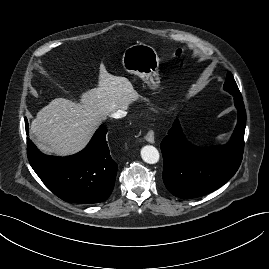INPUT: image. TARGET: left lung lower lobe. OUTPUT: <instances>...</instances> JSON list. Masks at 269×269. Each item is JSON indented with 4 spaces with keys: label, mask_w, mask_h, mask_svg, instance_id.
Returning a JSON list of instances; mask_svg holds the SVG:
<instances>
[{
    "label": "left lung lower lobe",
    "mask_w": 269,
    "mask_h": 269,
    "mask_svg": "<svg viewBox=\"0 0 269 269\" xmlns=\"http://www.w3.org/2000/svg\"><path fill=\"white\" fill-rule=\"evenodd\" d=\"M233 96L238 123L226 145L200 148L190 144L178 120L161 142L163 181L174 196L190 199L208 194L238 170L244 149L246 111L241 94Z\"/></svg>",
    "instance_id": "0a47b994"
}]
</instances>
